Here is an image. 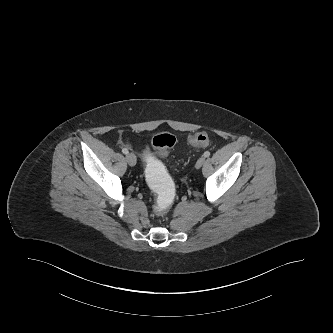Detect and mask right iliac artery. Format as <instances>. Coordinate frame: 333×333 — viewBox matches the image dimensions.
I'll return each instance as SVG.
<instances>
[{"label":"right iliac artery","instance_id":"1","mask_svg":"<svg viewBox=\"0 0 333 333\" xmlns=\"http://www.w3.org/2000/svg\"><path fill=\"white\" fill-rule=\"evenodd\" d=\"M122 152H123V154H128V153H129V151H128L127 148H123V149H122Z\"/></svg>","mask_w":333,"mask_h":333}]
</instances>
